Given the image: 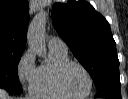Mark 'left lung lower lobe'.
<instances>
[{
    "label": "left lung lower lobe",
    "instance_id": "1",
    "mask_svg": "<svg viewBox=\"0 0 128 99\" xmlns=\"http://www.w3.org/2000/svg\"><path fill=\"white\" fill-rule=\"evenodd\" d=\"M120 80L109 81L103 84L98 90L95 97L108 99H121Z\"/></svg>",
    "mask_w": 128,
    "mask_h": 99
}]
</instances>
